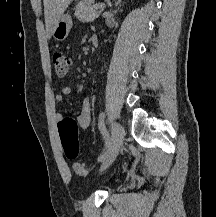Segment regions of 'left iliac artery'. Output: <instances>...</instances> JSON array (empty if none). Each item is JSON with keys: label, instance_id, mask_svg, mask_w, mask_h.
Wrapping results in <instances>:
<instances>
[{"label": "left iliac artery", "instance_id": "1", "mask_svg": "<svg viewBox=\"0 0 216 217\" xmlns=\"http://www.w3.org/2000/svg\"><path fill=\"white\" fill-rule=\"evenodd\" d=\"M104 120H105V113L104 112H101L100 115H99V129L103 135V138H104V141H105V147L103 149V152L100 154V156L98 157V161H104L107 154H108V151L110 149V146H111V141H110V137H109V134L105 128V125H104Z\"/></svg>", "mask_w": 216, "mask_h": 217}]
</instances>
